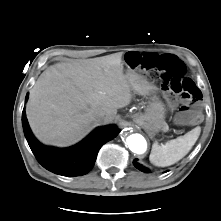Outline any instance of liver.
Masks as SVG:
<instances>
[{"instance_id":"6515ba94","label":"liver","mask_w":221,"mask_h":221,"mask_svg":"<svg viewBox=\"0 0 221 221\" xmlns=\"http://www.w3.org/2000/svg\"><path fill=\"white\" fill-rule=\"evenodd\" d=\"M122 53L58 63L44 71L30 92L26 113L35 136L44 144L69 146L100 123L114 120L117 109L132 99V84L123 73ZM105 118L97 121L96 114Z\"/></svg>"}]
</instances>
